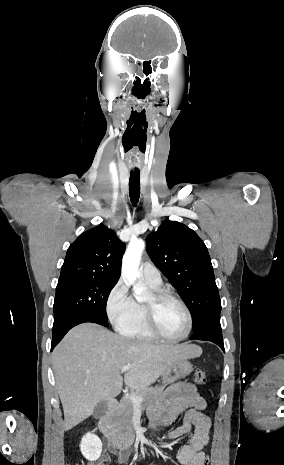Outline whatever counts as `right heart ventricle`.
Instances as JSON below:
<instances>
[{
  "instance_id": "obj_1",
  "label": "right heart ventricle",
  "mask_w": 284,
  "mask_h": 465,
  "mask_svg": "<svg viewBox=\"0 0 284 465\" xmlns=\"http://www.w3.org/2000/svg\"><path fill=\"white\" fill-rule=\"evenodd\" d=\"M152 289L158 290L160 285H149ZM146 315L144 306L136 304L132 317L119 326V332L127 339L137 342H154L155 339L148 333L145 327Z\"/></svg>"
}]
</instances>
